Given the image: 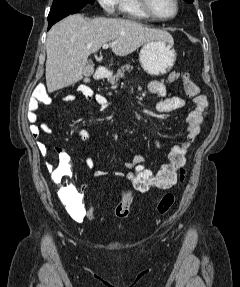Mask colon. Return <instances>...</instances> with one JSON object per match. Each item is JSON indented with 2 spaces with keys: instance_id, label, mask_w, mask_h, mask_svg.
Instances as JSON below:
<instances>
[{
  "instance_id": "5ec220e1",
  "label": "colon",
  "mask_w": 240,
  "mask_h": 287,
  "mask_svg": "<svg viewBox=\"0 0 240 287\" xmlns=\"http://www.w3.org/2000/svg\"><path fill=\"white\" fill-rule=\"evenodd\" d=\"M183 85L186 94L189 97H196L200 95L198 85L191 80L188 75L183 77ZM36 99L44 103L48 102L46 93L39 89L36 92ZM188 149L183 148L182 145L174 146L166 163L162 164L156 170L148 168L145 163L136 165L130 172L129 181L133 187L139 192H147L152 188L167 189L175 184L182 182L185 179L186 170L184 168L186 154ZM71 175V167L68 161L59 159L58 164L52 171V178L57 183H67ZM80 189H84L82 185ZM132 203V194L128 190L121 193L120 201L116 204L114 212L119 219H124L130 212ZM175 203V195L171 192L166 193L160 199L157 205V212L160 215L168 213ZM86 217L89 220L95 218V209L92 204L86 206Z\"/></svg>"
}]
</instances>
